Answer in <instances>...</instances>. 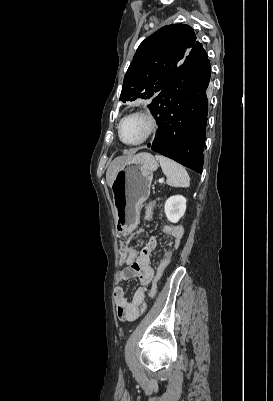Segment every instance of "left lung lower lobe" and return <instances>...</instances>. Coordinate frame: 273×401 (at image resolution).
<instances>
[{
  "label": "left lung lower lobe",
  "mask_w": 273,
  "mask_h": 401,
  "mask_svg": "<svg viewBox=\"0 0 273 401\" xmlns=\"http://www.w3.org/2000/svg\"><path fill=\"white\" fill-rule=\"evenodd\" d=\"M210 74L207 53L196 41L149 105L159 129L147 146L198 173L204 160Z\"/></svg>",
  "instance_id": "left-lung-lower-lobe-1"
}]
</instances>
